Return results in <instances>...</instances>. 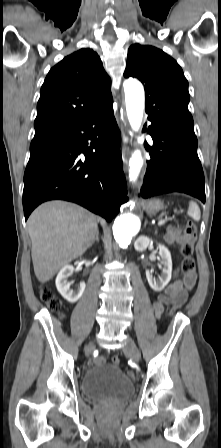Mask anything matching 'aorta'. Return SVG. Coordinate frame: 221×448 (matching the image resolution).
<instances>
[{"mask_svg": "<svg viewBox=\"0 0 221 448\" xmlns=\"http://www.w3.org/2000/svg\"><path fill=\"white\" fill-rule=\"evenodd\" d=\"M124 89L129 124L132 130L137 132L140 129L144 113V89L139 81L132 79L124 82ZM142 166L141 152L136 150L129 160L130 182L137 180ZM140 225V219L133 213H125L115 219L113 234L120 247L126 248L130 244L132 237L139 231Z\"/></svg>", "mask_w": 221, "mask_h": 448, "instance_id": "1", "label": "aorta"}]
</instances>
